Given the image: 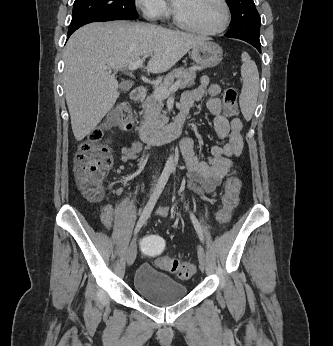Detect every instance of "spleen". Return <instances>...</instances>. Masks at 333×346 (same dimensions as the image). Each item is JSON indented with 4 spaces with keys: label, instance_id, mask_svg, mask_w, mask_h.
Wrapping results in <instances>:
<instances>
[{
    "label": "spleen",
    "instance_id": "spleen-1",
    "mask_svg": "<svg viewBox=\"0 0 333 346\" xmlns=\"http://www.w3.org/2000/svg\"><path fill=\"white\" fill-rule=\"evenodd\" d=\"M241 75L243 79V87L239 97V104L243 116L246 120H250L257 103L259 91V72L254 61L248 53H242Z\"/></svg>",
    "mask_w": 333,
    "mask_h": 346
}]
</instances>
